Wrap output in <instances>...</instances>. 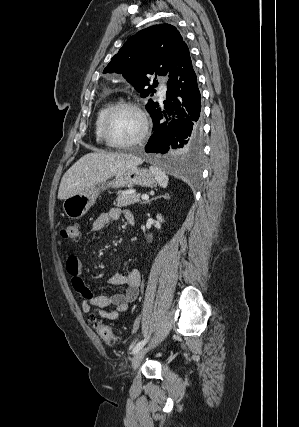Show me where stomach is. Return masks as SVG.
Segmentation results:
<instances>
[{
	"instance_id": "obj_1",
	"label": "stomach",
	"mask_w": 299,
	"mask_h": 427,
	"mask_svg": "<svg viewBox=\"0 0 299 427\" xmlns=\"http://www.w3.org/2000/svg\"><path fill=\"white\" fill-rule=\"evenodd\" d=\"M157 183L153 173L144 168L134 167L116 174L110 181H103L85 191L73 195L63 202V211L72 220L80 219L95 204L100 193L107 188L152 187Z\"/></svg>"
}]
</instances>
